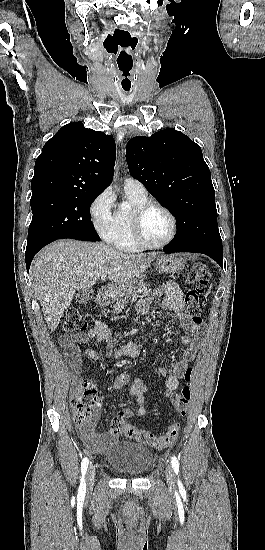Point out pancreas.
<instances>
[{"mask_svg":"<svg viewBox=\"0 0 265 550\" xmlns=\"http://www.w3.org/2000/svg\"><path fill=\"white\" fill-rule=\"evenodd\" d=\"M151 290L149 289V285L145 284L143 282H138L136 286H133L128 289V291L121 295L116 302V305L113 307V313H119L124 307L127 305V303L132 298L133 300H136L138 298H142L149 294Z\"/></svg>","mask_w":265,"mask_h":550,"instance_id":"1","label":"pancreas"}]
</instances>
